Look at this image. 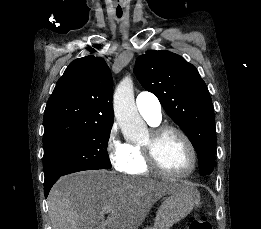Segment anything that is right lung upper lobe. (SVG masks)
<instances>
[{"instance_id":"1","label":"right lung upper lobe","mask_w":261,"mask_h":229,"mask_svg":"<svg viewBox=\"0 0 261 229\" xmlns=\"http://www.w3.org/2000/svg\"><path fill=\"white\" fill-rule=\"evenodd\" d=\"M112 90V75L102 58L89 55L72 61L45 108L44 148L91 126L113 124Z\"/></svg>"}]
</instances>
